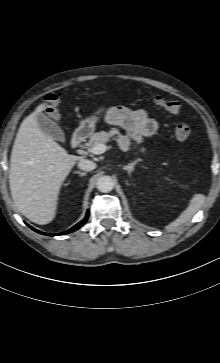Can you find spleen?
Here are the masks:
<instances>
[{"label": "spleen", "mask_w": 220, "mask_h": 363, "mask_svg": "<svg viewBox=\"0 0 220 363\" xmlns=\"http://www.w3.org/2000/svg\"><path fill=\"white\" fill-rule=\"evenodd\" d=\"M205 196L203 194H195L190 201L187 209L171 224L167 226L168 229H174L188 220H190L193 215L201 208L205 202Z\"/></svg>", "instance_id": "obj_1"}]
</instances>
